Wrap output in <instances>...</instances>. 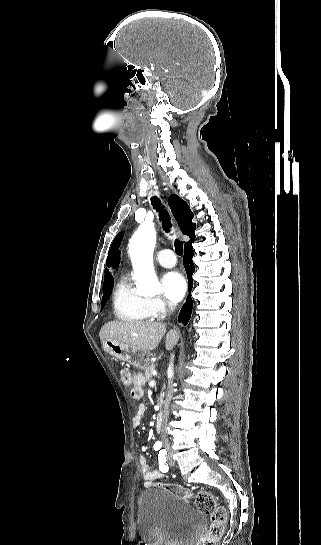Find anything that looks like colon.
Masks as SVG:
<instances>
[{
	"label": "colon",
	"instance_id": "1",
	"mask_svg": "<svg viewBox=\"0 0 321 545\" xmlns=\"http://www.w3.org/2000/svg\"><path fill=\"white\" fill-rule=\"evenodd\" d=\"M118 374L122 383L126 387L132 386V378L128 368L123 366L120 367ZM161 487L178 498H192V494L180 485L165 484ZM194 504L198 510L209 515L211 520L207 533L201 540L200 545H216L224 532L227 521V513L225 508L218 504L214 494L206 491L199 492L194 496Z\"/></svg>",
	"mask_w": 321,
	"mask_h": 545
}]
</instances>
